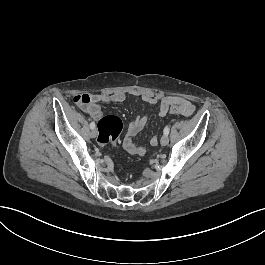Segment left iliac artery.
Masks as SVG:
<instances>
[{
	"label": "left iliac artery",
	"instance_id": "1",
	"mask_svg": "<svg viewBox=\"0 0 265 265\" xmlns=\"http://www.w3.org/2000/svg\"><path fill=\"white\" fill-rule=\"evenodd\" d=\"M169 130H170L169 125H167V126L164 128V134H165V135H168V134H169Z\"/></svg>",
	"mask_w": 265,
	"mask_h": 265
}]
</instances>
